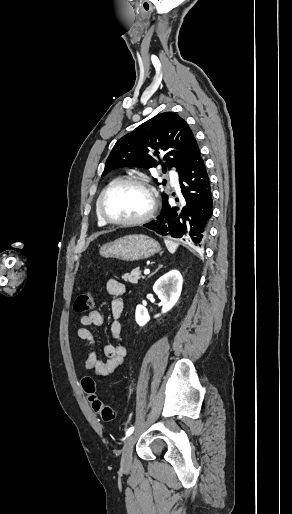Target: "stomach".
<instances>
[{"mask_svg": "<svg viewBox=\"0 0 292 514\" xmlns=\"http://www.w3.org/2000/svg\"><path fill=\"white\" fill-rule=\"evenodd\" d=\"M161 248L158 242L143 236V234H132V236H123L114 242H108L100 248V256L103 258H117V260H125V262H135V260H145L154 256L156 252H160Z\"/></svg>", "mask_w": 292, "mask_h": 514, "instance_id": "1", "label": "stomach"}]
</instances>
